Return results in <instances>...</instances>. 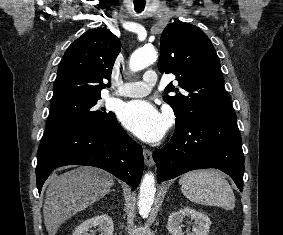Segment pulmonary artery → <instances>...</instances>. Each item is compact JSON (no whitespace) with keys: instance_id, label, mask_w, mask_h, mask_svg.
<instances>
[{"instance_id":"pulmonary-artery-1","label":"pulmonary artery","mask_w":283,"mask_h":235,"mask_svg":"<svg viewBox=\"0 0 283 235\" xmlns=\"http://www.w3.org/2000/svg\"><path fill=\"white\" fill-rule=\"evenodd\" d=\"M156 82V73L154 71H146L142 81L125 83L112 94L121 97H143L150 93Z\"/></svg>"}]
</instances>
